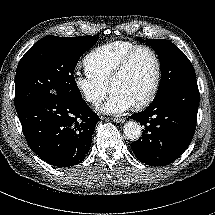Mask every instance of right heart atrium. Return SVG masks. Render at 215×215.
<instances>
[{"mask_svg":"<svg viewBox=\"0 0 215 215\" xmlns=\"http://www.w3.org/2000/svg\"><path fill=\"white\" fill-rule=\"evenodd\" d=\"M73 83L80 96L91 105L99 104L107 94L105 83L81 71L74 72Z\"/></svg>","mask_w":215,"mask_h":215,"instance_id":"d8ad5b80","label":"right heart atrium"}]
</instances>
